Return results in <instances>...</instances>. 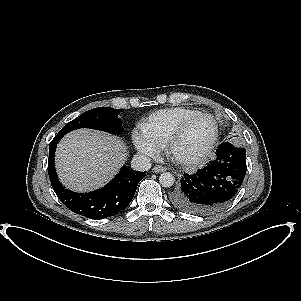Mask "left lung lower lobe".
Instances as JSON below:
<instances>
[{
    "label": "left lung lower lobe",
    "mask_w": 301,
    "mask_h": 301,
    "mask_svg": "<svg viewBox=\"0 0 301 301\" xmlns=\"http://www.w3.org/2000/svg\"><path fill=\"white\" fill-rule=\"evenodd\" d=\"M216 156L196 174H185L171 198L176 207L205 215L225 207L234 199L246 174V151L223 142Z\"/></svg>",
    "instance_id": "left-lung-lower-lobe-1"
}]
</instances>
